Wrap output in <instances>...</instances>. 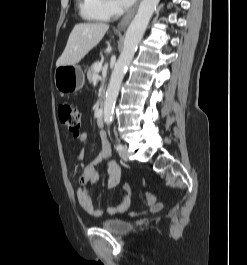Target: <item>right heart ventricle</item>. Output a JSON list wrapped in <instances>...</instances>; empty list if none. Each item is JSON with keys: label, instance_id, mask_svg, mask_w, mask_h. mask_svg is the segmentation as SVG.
<instances>
[{"label": "right heart ventricle", "instance_id": "e07e8e85", "mask_svg": "<svg viewBox=\"0 0 247 265\" xmlns=\"http://www.w3.org/2000/svg\"><path fill=\"white\" fill-rule=\"evenodd\" d=\"M79 5L82 15L89 20L106 21L109 19L95 8V0H79Z\"/></svg>", "mask_w": 247, "mask_h": 265}]
</instances>
